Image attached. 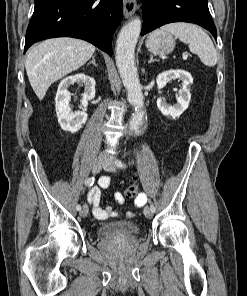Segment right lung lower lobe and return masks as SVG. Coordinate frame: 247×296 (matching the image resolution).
I'll return each mask as SVG.
<instances>
[{"label":"right lung lower lobe","instance_id":"98d812e1","mask_svg":"<svg viewBox=\"0 0 247 296\" xmlns=\"http://www.w3.org/2000/svg\"><path fill=\"white\" fill-rule=\"evenodd\" d=\"M24 53L35 42L53 37L86 40L112 55V36L122 18V0H34Z\"/></svg>","mask_w":247,"mask_h":296}]
</instances>
